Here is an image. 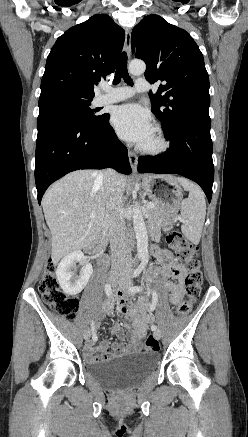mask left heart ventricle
Listing matches in <instances>:
<instances>
[{
    "label": "left heart ventricle",
    "instance_id": "left-heart-ventricle-1",
    "mask_svg": "<svg viewBox=\"0 0 248 437\" xmlns=\"http://www.w3.org/2000/svg\"><path fill=\"white\" fill-rule=\"evenodd\" d=\"M142 144H144L146 146H153V145H155L156 144V140H155L154 133H152L150 135V137L145 142H143Z\"/></svg>",
    "mask_w": 248,
    "mask_h": 437
}]
</instances>
